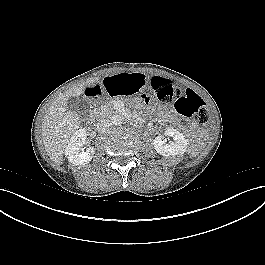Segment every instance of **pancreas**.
<instances>
[{
  "instance_id": "cf45deb5",
  "label": "pancreas",
  "mask_w": 265,
  "mask_h": 265,
  "mask_svg": "<svg viewBox=\"0 0 265 265\" xmlns=\"http://www.w3.org/2000/svg\"><path fill=\"white\" fill-rule=\"evenodd\" d=\"M112 113H114V110H113V104L111 102H107L96 109V114H98L101 117H108Z\"/></svg>"
}]
</instances>
